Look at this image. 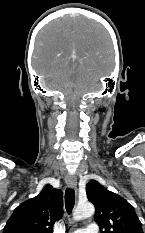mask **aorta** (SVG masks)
Listing matches in <instances>:
<instances>
[{"mask_svg":"<svg viewBox=\"0 0 145 233\" xmlns=\"http://www.w3.org/2000/svg\"><path fill=\"white\" fill-rule=\"evenodd\" d=\"M95 212V208L92 203L78 204L73 212V219L76 221L91 217Z\"/></svg>","mask_w":145,"mask_h":233,"instance_id":"obj_1","label":"aorta"}]
</instances>
